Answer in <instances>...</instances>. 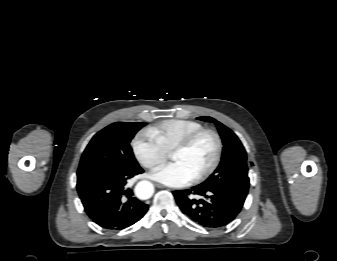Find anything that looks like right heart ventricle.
I'll use <instances>...</instances> for the list:
<instances>
[{
  "label": "right heart ventricle",
  "mask_w": 337,
  "mask_h": 261,
  "mask_svg": "<svg viewBox=\"0 0 337 261\" xmlns=\"http://www.w3.org/2000/svg\"><path fill=\"white\" fill-rule=\"evenodd\" d=\"M203 125L193 120L169 119L162 121L149 129V132L158 140L169 153L184 138L191 133L202 129Z\"/></svg>",
  "instance_id": "right-heart-ventricle-1"
}]
</instances>
